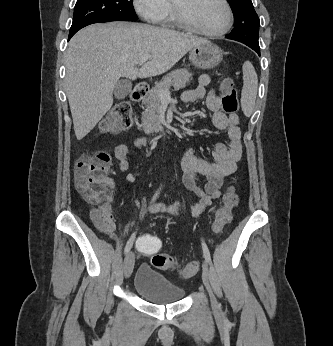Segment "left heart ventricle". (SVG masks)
Here are the masks:
<instances>
[{"mask_svg": "<svg viewBox=\"0 0 333 346\" xmlns=\"http://www.w3.org/2000/svg\"><path fill=\"white\" fill-rule=\"evenodd\" d=\"M186 15L205 31H218L226 23L227 13L221 0H175Z\"/></svg>", "mask_w": 333, "mask_h": 346, "instance_id": "b2bd125f", "label": "left heart ventricle"}]
</instances>
